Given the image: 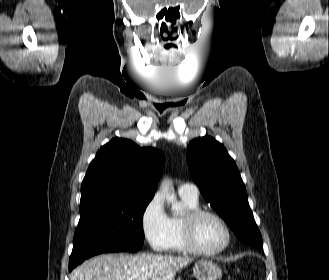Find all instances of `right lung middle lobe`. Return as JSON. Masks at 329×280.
I'll use <instances>...</instances> for the list:
<instances>
[{
	"label": "right lung middle lobe",
	"mask_w": 329,
	"mask_h": 280,
	"mask_svg": "<svg viewBox=\"0 0 329 280\" xmlns=\"http://www.w3.org/2000/svg\"><path fill=\"white\" fill-rule=\"evenodd\" d=\"M153 197L101 198L80 205L69 267L103 248L136 252L143 246V214Z\"/></svg>",
	"instance_id": "dd1d6c3e"
}]
</instances>
